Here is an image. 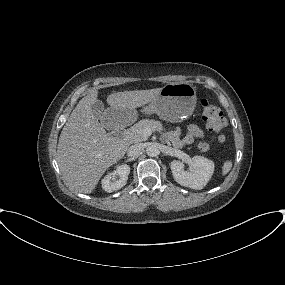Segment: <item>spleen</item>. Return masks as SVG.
Wrapping results in <instances>:
<instances>
[{"label":"spleen","instance_id":"3e777b00","mask_svg":"<svg viewBox=\"0 0 285 285\" xmlns=\"http://www.w3.org/2000/svg\"><path fill=\"white\" fill-rule=\"evenodd\" d=\"M232 168V161L227 160L222 166V175H226Z\"/></svg>","mask_w":285,"mask_h":285}]
</instances>
